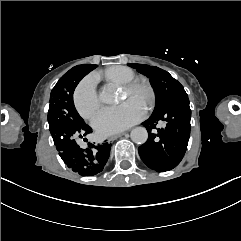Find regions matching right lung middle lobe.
<instances>
[{
	"label": "right lung middle lobe",
	"instance_id": "1",
	"mask_svg": "<svg viewBox=\"0 0 241 241\" xmlns=\"http://www.w3.org/2000/svg\"><path fill=\"white\" fill-rule=\"evenodd\" d=\"M81 67L82 65H78L70 69L59 79L51 91L48 123L55 145L64 135L75 138L86 124L73 103V92L76 87L74 81ZM92 67L95 69L97 65H92Z\"/></svg>",
	"mask_w": 241,
	"mask_h": 241
}]
</instances>
